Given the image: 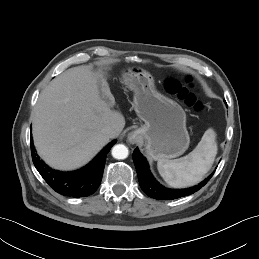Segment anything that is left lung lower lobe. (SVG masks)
Listing matches in <instances>:
<instances>
[{"instance_id": "0a47b994", "label": "left lung lower lobe", "mask_w": 259, "mask_h": 259, "mask_svg": "<svg viewBox=\"0 0 259 259\" xmlns=\"http://www.w3.org/2000/svg\"><path fill=\"white\" fill-rule=\"evenodd\" d=\"M133 160L135 163L141 189L149 197H152L157 200H173L180 197L191 195L198 191L200 188H202L213 175L211 174L207 179L191 188L179 190L168 189L160 185L154 179V177L150 173L146 159L137 148L134 150Z\"/></svg>"}]
</instances>
